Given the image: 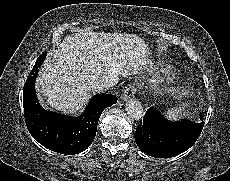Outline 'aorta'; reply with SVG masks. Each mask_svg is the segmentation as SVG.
<instances>
[{
	"mask_svg": "<svg viewBox=\"0 0 230 181\" xmlns=\"http://www.w3.org/2000/svg\"><path fill=\"white\" fill-rule=\"evenodd\" d=\"M125 111L131 119L136 121H139L144 117V108L136 99H130L126 102Z\"/></svg>",
	"mask_w": 230,
	"mask_h": 181,
	"instance_id": "1",
	"label": "aorta"
}]
</instances>
